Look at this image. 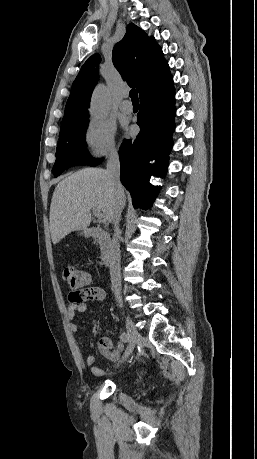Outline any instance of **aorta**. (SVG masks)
Instances as JSON below:
<instances>
[{
  "label": "aorta",
  "instance_id": "762f6f07",
  "mask_svg": "<svg viewBox=\"0 0 257 459\" xmlns=\"http://www.w3.org/2000/svg\"><path fill=\"white\" fill-rule=\"evenodd\" d=\"M108 111V92L104 85H99L93 93L90 113L95 120L103 119Z\"/></svg>",
  "mask_w": 257,
  "mask_h": 459
}]
</instances>
